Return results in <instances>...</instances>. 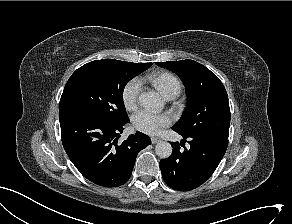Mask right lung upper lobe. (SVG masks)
Instances as JSON below:
<instances>
[{"label": "right lung upper lobe", "instance_id": "right-lung-upper-lobe-1", "mask_svg": "<svg viewBox=\"0 0 292 224\" xmlns=\"http://www.w3.org/2000/svg\"><path fill=\"white\" fill-rule=\"evenodd\" d=\"M136 64L145 69L149 68L152 65V63H136Z\"/></svg>", "mask_w": 292, "mask_h": 224}]
</instances>
